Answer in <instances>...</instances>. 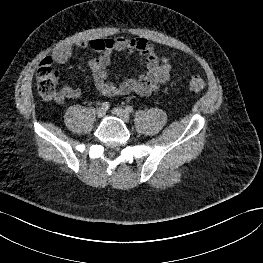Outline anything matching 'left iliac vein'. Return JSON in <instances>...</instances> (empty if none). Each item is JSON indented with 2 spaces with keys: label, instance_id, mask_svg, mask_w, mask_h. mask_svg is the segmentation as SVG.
<instances>
[{
  "label": "left iliac vein",
  "instance_id": "4c4485c4",
  "mask_svg": "<svg viewBox=\"0 0 263 263\" xmlns=\"http://www.w3.org/2000/svg\"><path fill=\"white\" fill-rule=\"evenodd\" d=\"M112 113L118 116L119 118H121L124 122L126 123L129 122L130 117H129V113L126 110L120 107H116L113 109Z\"/></svg>",
  "mask_w": 263,
  "mask_h": 263
}]
</instances>
